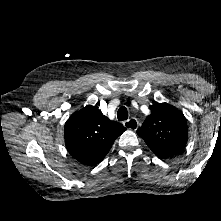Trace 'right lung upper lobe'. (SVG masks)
Here are the masks:
<instances>
[{
  "instance_id": "obj_1",
  "label": "right lung upper lobe",
  "mask_w": 221,
  "mask_h": 221,
  "mask_svg": "<svg viewBox=\"0 0 221 221\" xmlns=\"http://www.w3.org/2000/svg\"><path fill=\"white\" fill-rule=\"evenodd\" d=\"M126 128L104 116L97 106L87 105L65 123V145L79 162L95 165L103 160L115 139Z\"/></svg>"
}]
</instances>
